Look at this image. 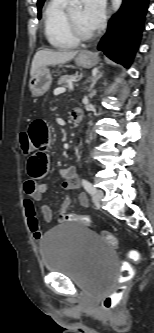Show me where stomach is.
Returning <instances> with one entry per match:
<instances>
[{"label": "stomach", "mask_w": 154, "mask_h": 333, "mask_svg": "<svg viewBox=\"0 0 154 333\" xmlns=\"http://www.w3.org/2000/svg\"><path fill=\"white\" fill-rule=\"evenodd\" d=\"M77 65L84 68H91L99 62V58L96 54L83 51L75 58ZM52 83V77L50 70L47 67H40L36 70L29 81V88L34 97L44 95Z\"/></svg>", "instance_id": "1"}]
</instances>
